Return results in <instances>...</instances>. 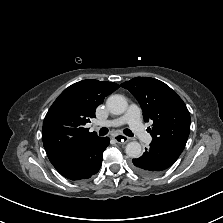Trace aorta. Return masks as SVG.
I'll return each mask as SVG.
<instances>
[{
  "label": "aorta",
  "instance_id": "1",
  "mask_svg": "<svg viewBox=\"0 0 223 223\" xmlns=\"http://www.w3.org/2000/svg\"><path fill=\"white\" fill-rule=\"evenodd\" d=\"M106 106L110 113L120 115L126 111L128 103L124 96L114 94L107 99ZM125 151L131 158H139L142 155V147L137 141L128 143Z\"/></svg>",
  "mask_w": 223,
  "mask_h": 223
}]
</instances>
